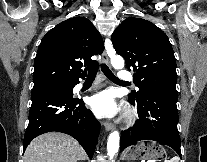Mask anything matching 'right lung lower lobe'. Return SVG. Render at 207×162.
Wrapping results in <instances>:
<instances>
[{"label": "right lung lower lobe", "mask_w": 207, "mask_h": 162, "mask_svg": "<svg viewBox=\"0 0 207 162\" xmlns=\"http://www.w3.org/2000/svg\"><path fill=\"white\" fill-rule=\"evenodd\" d=\"M79 81L68 83L72 90ZM29 124L25 132L23 150L35 137L52 131L71 135L79 141L92 158L100 124L82 99L73 97V92L49 88L32 92Z\"/></svg>", "instance_id": "right-lung-lower-lobe-1"}]
</instances>
